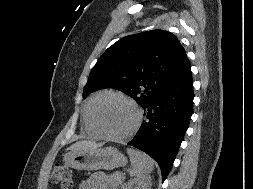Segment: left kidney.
Here are the masks:
<instances>
[{
	"mask_svg": "<svg viewBox=\"0 0 253 189\" xmlns=\"http://www.w3.org/2000/svg\"><path fill=\"white\" fill-rule=\"evenodd\" d=\"M150 176H143L129 180L121 189H151Z\"/></svg>",
	"mask_w": 253,
	"mask_h": 189,
	"instance_id": "left-kidney-1",
	"label": "left kidney"
}]
</instances>
